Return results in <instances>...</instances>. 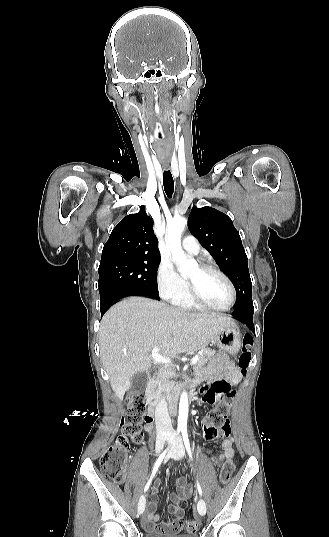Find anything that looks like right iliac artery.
Returning <instances> with one entry per match:
<instances>
[{
  "label": "right iliac artery",
  "instance_id": "1",
  "mask_svg": "<svg viewBox=\"0 0 329 537\" xmlns=\"http://www.w3.org/2000/svg\"><path fill=\"white\" fill-rule=\"evenodd\" d=\"M180 431H181V429H178V430H177V433H176L177 436L179 435ZM172 443H173V442H171V444H172ZM169 447H170V446H169ZM169 447H168V448H167V449H166V450L159 456V458L157 459L156 463L154 464V467H153V470H152L151 477H150V479L148 480V482H147L146 485H145L144 492H146V491L149 489L150 484H151V482H152V479L155 477L156 472L158 471V468H159V466L161 465V463H162V461H163V459H164V457H165V455H166V452L168 451Z\"/></svg>",
  "mask_w": 329,
  "mask_h": 537
}]
</instances>
